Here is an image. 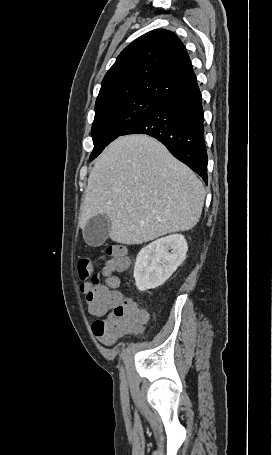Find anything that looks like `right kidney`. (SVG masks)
Segmentation results:
<instances>
[{
	"instance_id": "ca27d5eb",
	"label": "right kidney",
	"mask_w": 272,
	"mask_h": 455,
	"mask_svg": "<svg viewBox=\"0 0 272 455\" xmlns=\"http://www.w3.org/2000/svg\"><path fill=\"white\" fill-rule=\"evenodd\" d=\"M187 250L181 234L160 238L142 248L134 267L137 288L146 291L161 286L185 260Z\"/></svg>"
}]
</instances>
